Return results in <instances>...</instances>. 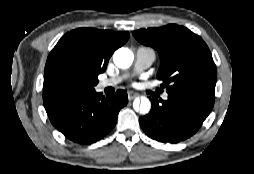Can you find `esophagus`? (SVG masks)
<instances>
[{
    "label": "esophagus",
    "mask_w": 254,
    "mask_h": 174,
    "mask_svg": "<svg viewBox=\"0 0 254 174\" xmlns=\"http://www.w3.org/2000/svg\"><path fill=\"white\" fill-rule=\"evenodd\" d=\"M136 97H138V94L133 93V92H128V99L131 101L133 99H135Z\"/></svg>",
    "instance_id": "34e87169"
}]
</instances>
